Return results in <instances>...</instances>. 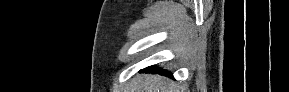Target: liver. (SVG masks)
<instances>
[{"label": "liver", "instance_id": "liver-1", "mask_svg": "<svg viewBox=\"0 0 289 92\" xmlns=\"http://www.w3.org/2000/svg\"><path fill=\"white\" fill-rule=\"evenodd\" d=\"M126 92H175V84L160 75H137Z\"/></svg>", "mask_w": 289, "mask_h": 92}]
</instances>
